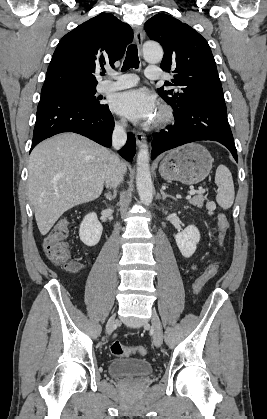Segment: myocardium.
Instances as JSON below:
<instances>
[{
	"label": "myocardium",
	"mask_w": 267,
	"mask_h": 419,
	"mask_svg": "<svg viewBox=\"0 0 267 419\" xmlns=\"http://www.w3.org/2000/svg\"><path fill=\"white\" fill-rule=\"evenodd\" d=\"M174 120V113L171 107L168 105H162L159 108V111L157 113L156 119H155V126L157 127H163L171 124Z\"/></svg>",
	"instance_id": "myocardium-1"
}]
</instances>
